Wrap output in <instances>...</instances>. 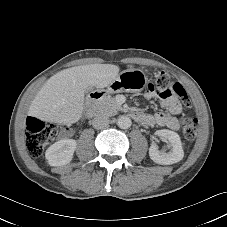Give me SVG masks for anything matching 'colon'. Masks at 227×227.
Instances as JSON below:
<instances>
[{
    "label": "colon",
    "mask_w": 227,
    "mask_h": 227,
    "mask_svg": "<svg viewBox=\"0 0 227 227\" xmlns=\"http://www.w3.org/2000/svg\"><path fill=\"white\" fill-rule=\"evenodd\" d=\"M157 90L171 89L186 107H190L191 101L180 83H173L166 72H157L154 82ZM198 121L196 118L185 115L182 119V131L188 140L197 135ZM59 128L57 125L44 122L35 117H28L26 120V144L31 157L37 158L42 155L46 145L51 143L57 136Z\"/></svg>",
    "instance_id": "obj_1"
}]
</instances>
